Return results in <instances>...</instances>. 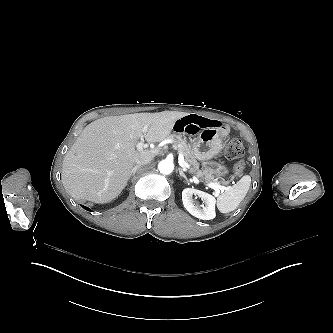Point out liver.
I'll list each match as a JSON object with an SVG mask.
<instances>
[{
  "label": "liver",
  "mask_w": 333,
  "mask_h": 333,
  "mask_svg": "<svg viewBox=\"0 0 333 333\" xmlns=\"http://www.w3.org/2000/svg\"><path fill=\"white\" fill-rule=\"evenodd\" d=\"M186 112L164 111L109 116L88 124L63 160L62 183L76 200L107 203L125 188L133 166L149 151L139 152L140 138L160 142ZM148 126L144 131V126Z\"/></svg>",
  "instance_id": "liver-1"
}]
</instances>
